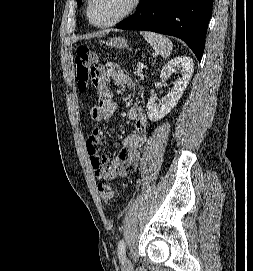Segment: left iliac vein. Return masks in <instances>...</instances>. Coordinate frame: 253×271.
Listing matches in <instances>:
<instances>
[{"label": "left iliac vein", "mask_w": 253, "mask_h": 271, "mask_svg": "<svg viewBox=\"0 0 253 271\" xmlns=\"http://www.w3.org/2000/svg\"><path fill=\"white\" fill-rule=\"evenodd\" d=\"M124 266L127 268V269H130L131 268V262L126 258L125 261H124Z\"/></svg>", "instance_id": "obj_1"}]
</instances>
